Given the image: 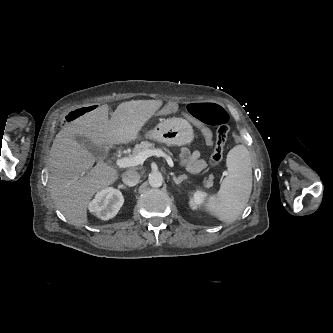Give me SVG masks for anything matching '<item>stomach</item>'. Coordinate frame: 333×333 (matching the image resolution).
I'll return each instance as SVG.
<instances>
[{
    "mask_svg": "<svg viewBox=\"0 0 333 333\" xmlns=\"http://www.w3.org/2000/svg\"><path fill=\"white\" fill-rule=\"evenodd\" d=\"M147 136L167 145H187L194 139L193 128L186 120L170 118L159 123Z\"/></svg>",
    "mask_w": 333,
    "mask_h": 333,
    "instance_id": "0dacf381",
    "label": "stomach"
}]
</instances>
